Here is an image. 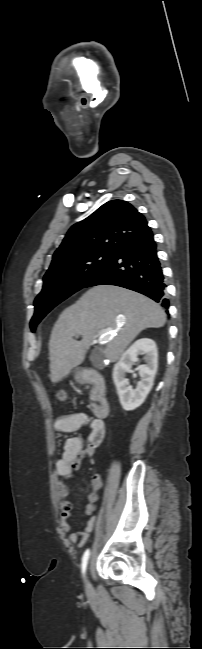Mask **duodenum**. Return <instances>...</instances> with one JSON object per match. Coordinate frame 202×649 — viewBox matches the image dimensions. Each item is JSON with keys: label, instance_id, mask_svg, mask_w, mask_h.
Segmentation results:
<instances>
[{"label": "duodenum", "instance_id": "obj_1", "mask_svg": "<svg viewBox=\"0 0 202 649\" xmlns=\"http://www.w3.org/2000/svg\"><path fill=\"white\" fill-rule=\"evenodd\" d=\"M81 381L91 385L90 399L93 411L97 417L105 418L110 411L107 398L106 382L103 376L94 369H85L81 373Z\"/></svg>", "mask_w": 202, "mask_h": 649}]
</instances>
